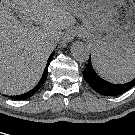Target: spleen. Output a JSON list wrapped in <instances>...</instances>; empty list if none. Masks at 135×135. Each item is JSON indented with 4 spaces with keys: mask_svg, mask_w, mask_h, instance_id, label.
<instances>
[{
    "mask_svg": "<svg viewBox=\"0 0 135 135\" xmlns=\"http://www.w3.org/2000/svg\"><path fill=\"white\" fill-rule=\"evenodd\" d=\"M93 64L102 77L113 83H126L135 78V57L114 65L93 57Z\"/></svg>",
    "mask_w": 135,
    "mask_h": 135,
    "instance_id": "1",
    "label": "spleen"
}]
</instances>
